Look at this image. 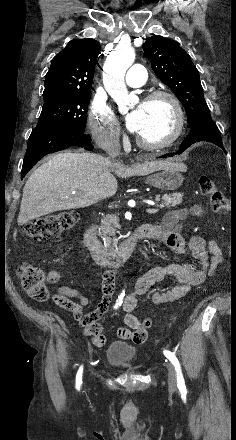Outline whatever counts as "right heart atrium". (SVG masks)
Masks as SVG:
<instances>
[{
  "label": "right heart atrium",
  "mask_w": 236,
  "mask_h": 440,
  "mask_svg": "<svg viewBox=\"0 0 236 440\" xmlns=\"http://www.w3.org/2000/svg\"><path fill=\"white\" fill-rule=\"evenodd\" d=\"M88 124L97 145L104 150L115 152L119 149L121 129L112 108L102 99L92 101Z\"/></svg>",
  "instance_id": "1"
}]
</instances>
